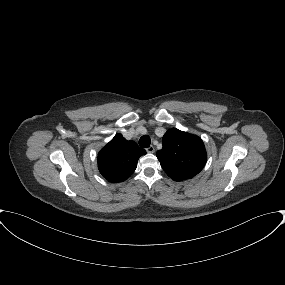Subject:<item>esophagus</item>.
Returning a JSON list of instances; mask_svg holds the SVG:
<instances>
[{"instance_id": "esophagus-1", "label": "esophagus", "mask_w": 285, "mask_h": 285, "mask_svg": "<svg viewBox=\"0 0 285 285\" xmlns=\"http://www.w3.org/2000/svg\"><path fill=\"white\" fill-rule=\"evenodd\" d=\"M146 151L148 152V153H154V151H155V148H154V146H149L148 148H146Z\"/></svg>"}]
</instances>
